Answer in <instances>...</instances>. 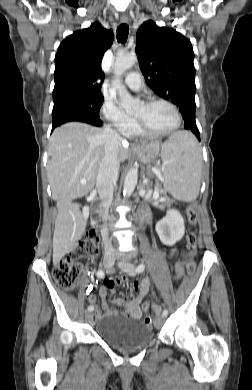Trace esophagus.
<instances>
[{
    "instance_id": "obj_1",
    "label": "esophagus",
    "mask_w": 252,
    "mask_h": 390,
    "mask_svg": "<svg viewBox=\"0 0 252 390\" xmlns=\"http://www.w3.org/2000/svg\"><path fill=\"white\" fill-rule=\"evenodd\" d=\"M121 22L122 23H127L128 22V17L127 16H121Z\"/></svg>"
}]
</instances>
